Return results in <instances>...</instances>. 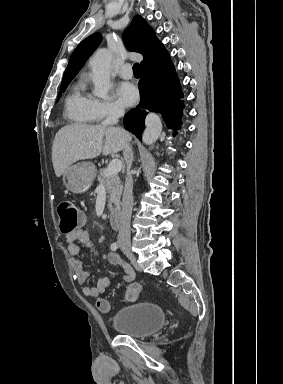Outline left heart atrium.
Here are the masks:
<instances>
[{
	"mask_svg": "<svg viewBox=\"0 0 283 384\" xmlns=\"http://www.w3.org/2000/svg\"><path fill=\"white\" fill-rule=\"evenodd\" d=\"M115 91L121 103L126 107L133 106L138 100V90L130 83L118 84Z\"/></svg>",
	"mask_w": 283,
	"mask_h": 384,
	"instance_id": "1",
	"label": "left heart atrium"
}]
</instances>
